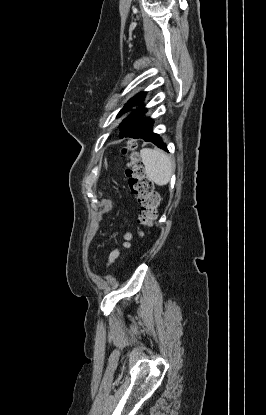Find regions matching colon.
<instances>
[{
	"mask_svg": "<svg viewBox=\"0 0 266 415\" xmlns=\"http://www.w3.org/2000/svg\"><path fill=\"white\" fill-rule=\"evenodd\" d=\"M123 152L128 154L126 175L129 187L141 206L139 223L144 228H149L157 218L160 196L155 190L152 180L146 176L140 156L135 151L134 143L128 142ZM145 234L146 231L141 232V235Z\"/></svg>",
	"mask_w": 266,
	"mask_h": 415,
	"instance_id": "obj_1",
	"label": "colon"
}]
</instances>
